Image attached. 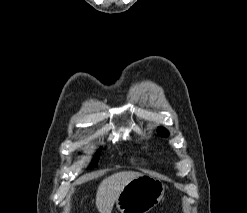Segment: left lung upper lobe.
<instances>
[{"instance_id": "5c2ea615", "label": "left lung upper lobe", "mask_w": 247, "mask_h": 213, "mask_svg": "<svg viewBox=\"0 0 247 213\" xmlns=\"http://www.w3.org/2000/svg\"><path fill=\"white\" fill-rule=\"evenodd\" d=\"M157 132L162 137H167L168 136V131H166L164 128H158Z\"/></svg>"}]
</instances>
